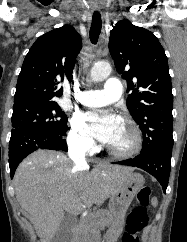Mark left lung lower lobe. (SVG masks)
<instances>
[{"label": "left lung lower lobe", "instance_id": "0a47b994", "mask_svg": "<svg viewBox=\"0 0 187 242\" xmlns=\"http://www.w3.org/2000/svg\"><path fill=\"white\" fill-rule=\"evenodd\" d=\"M171 155L172 148H167L149 153H140L135 158L115 162V164L138 167L147 171L159 181L165 193L170 175Z\"/></svg>", "mask_w": 187, "mask_h": 242}]
</instances>
